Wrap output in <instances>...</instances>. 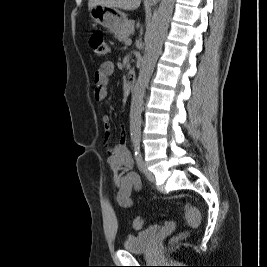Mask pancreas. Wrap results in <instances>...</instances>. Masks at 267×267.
Wrapping results in <instances>:
<instances>
[{"mask_svg":"<svg viewBox=\"0 0 267 267\" xmlns=\"http://www.w3.org/2000/svg\"><path fill=\"white\" fill-rule=\"evenodd\" d=\"M135 22L133 20L126 21L121 30L116 34L119 41H126L134 32Z\"/></svg>","mask_w":267,"mask_h":267,"instance_id":"1","label":"pancreas"}]
</instances>
